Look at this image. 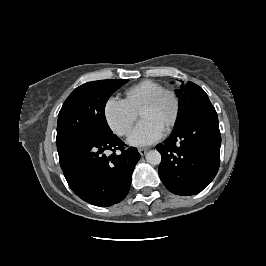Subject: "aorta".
I'll use <instances>...</instances> for the list:
<instances>
[{
  "label": "aorta",
  "instance_id": "762f6f07",
  "mask_svg": "<svg viewBox=\"0 0 266 266\" xmlns=\"http://www.w3.org/2000/svg\"><path fill=\"white\" fill-rule=\"evenodd\" d=\"M146 161L151 165H158L161 162V154L157 150H150L146 154Z\"/></svg>",
  "mask_w": 266,
  "mask_h": 266
}]
</instances>
